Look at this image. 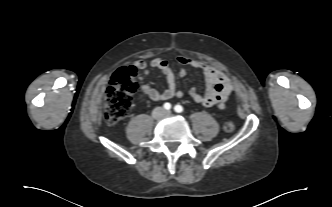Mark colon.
I'll list each match as a JSON object with an SVG mask.
<instances>
[{
	"label": "colon",
	"instance_id": "1",
	"mask_svg": "<svg viewBox=\"0 0 332 207\" xmlns=\"http://www.w3.org/2000/svg\"><path fill=\"white\" fill-rule=\"evenodd\" d=\"M136 70L133 67H121L111 77L106 89L104 117L109 124H116L129 112L133 103V95L138 89L135 80ZM235 124L227 121L224 129L232 132Z\"/></svg>",
	"mask_w": 332,
	"mask_h": 207
}]
</instances>
